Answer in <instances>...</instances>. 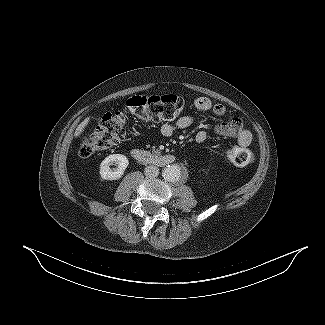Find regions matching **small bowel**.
<instances>
[{
    "label": "small bowel",
    "instance_id": "1",
    "mask_svg": "<svg viewBox=\"0 0 325 325\" xmlns=\"http://www.w3.org/2000/svg\"><path fill=\"white\" fill-rule=\"evenodd\" d=\"M194 107L199 111H211L216 116H223L226 108L221 103H213L207 97H198L194 100ZM195 123V117L192 115H184L173 123L164 124L160 132L163 136H171L178 130L186 129ZM214 132L217 135L232 137L237 140L241 147H248L252 141V135L249 130L243 127L241 120L238 117H233L226 122L217 124L214 127ZM209 135L206 131H198L195 135V140L198 143H204L208 140Z\"/></svg>",
    "mask_w": 325,
    "mask_h": 325
}]
</instances>
